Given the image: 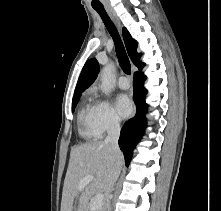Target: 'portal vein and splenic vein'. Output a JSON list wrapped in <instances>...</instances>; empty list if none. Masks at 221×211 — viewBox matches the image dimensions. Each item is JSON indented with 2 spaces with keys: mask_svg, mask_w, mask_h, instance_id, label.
<instances>
[{
  "mask_svg": "<svg viewBox=\"0 0 221 211\" xmlns=\"http://www.w3.org/2000/svg\"><path fill=\"white\" fill-rule=\"evenodd\" d=\"M93 180V176H86L83 178L78 186L79 190H82L85 188L87 184H89ZM104 196L103 194H96L93 201L90 204V207L92 210H96L100 208L103 205Z\"/></svg>",
  "mask_w": 221,
  "mask_h": 211,
  "instance_id": "portal-vein-and-splenic-vein-1",
  "label": "portal vein and splenic vein"
}]
</instances>
